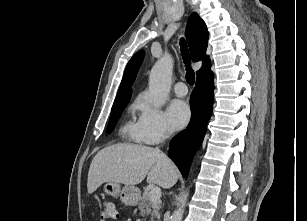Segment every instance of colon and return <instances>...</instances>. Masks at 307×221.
<instances>
[{
  "instance_id": "colon-1",
  "label": "colon",
  "mask_w": 307,
  "mask_h": 221,
  "mask_svg": "<svg viewBox=\"0 0 307 221\" xmlns=\"http://www.w3.org/2000/svg\"><path fill=\"white\" fill-rule=\"evenodd\" d=\"M116 217L115 205L112 201H104L101 205V221H108Z\"/></svg>"
}]
</instances>
